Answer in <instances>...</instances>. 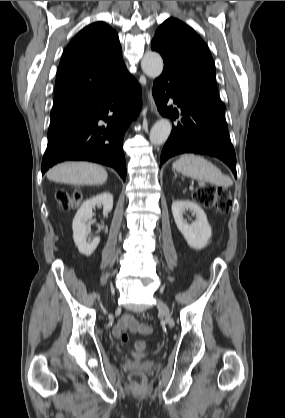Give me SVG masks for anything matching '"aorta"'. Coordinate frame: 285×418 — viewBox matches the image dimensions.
<instances>
[{
	"label": "aorta",
	"mask_w": 285,
	"mask_h": 418,
	"mask_svg": "<svg viewBox=\"0 0 285 418\" xmlns=\"http://www.w3.org/2000/svg\"><path fill=\"white\" fill-rule=\"evenodd\" d=\"M141 67L143 72L150 78H157L163 71V60L157 52H146ZM172 130L171 122L168 119L157 121L150 131L149 139L152 144L160 145L166 142Z\"/></svg>",
	"instance_id": "1"
}]
</instances>
